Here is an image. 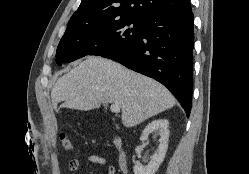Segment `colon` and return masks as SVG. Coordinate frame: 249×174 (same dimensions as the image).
I'll use <instances>...</instances> for the list:
<instances>
[{
    "label": "colon",
    "mask_w": 249,
    "mask_h": 174,
    "mask_svg": "<svg viewBox=\"0 0 249 174\" xmlns=\"http://www.w3.org/2000/svg\"><path fill=\"white\" fill-rule=\"evenodd\" d=\"M60 142L62 148L67 152H72L75 149L73 139L66 133L60 134Z\"/></svg>",
    "instance_id": "5ec220e1"
}]
</instances>
